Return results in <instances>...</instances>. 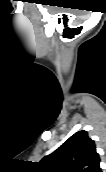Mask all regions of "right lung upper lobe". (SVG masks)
<instances>
[{"mask_svg":"<svg viewBox=\"0 0 106 172\" xmlns=\"http://www.w3.org/2000/svg\"><path fill=\"white\" fill-rule=\"evenodd\" d=\"M95 143L79 131L39 163L43 172H102Z\"/></svg>","mask_w":106,"mask_h":172,"instance_id":"1","label":"right lung upper lobe"}]
</instances>
